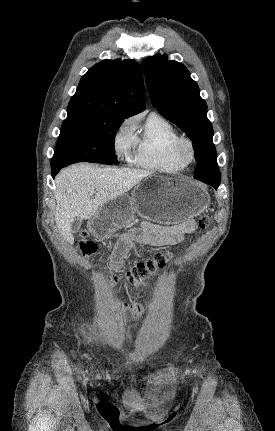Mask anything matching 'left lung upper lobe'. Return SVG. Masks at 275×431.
<instances>
[{
	"label": "left lung upper lobe",
	"instance_id": "5c2ea615",
	"mask_svg": "<svg viewBox=\"0 0 275 431\" xmlns=\"http://www.w3.org/2000/svg\"><path fill=\"white\" fill-rule=\"evenodd\" d=\"M143 70L151 102L159 113L179 126L192 140L198 166L196 174L214 173L220 182L213 128L207 118V105L199 95L198 84L187 68L167 56L157 54L144 60Z\"/></svg>",
	"mask_w": 275,
	"mask_h": 431
}]
</instances>
